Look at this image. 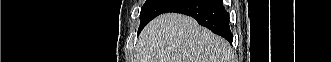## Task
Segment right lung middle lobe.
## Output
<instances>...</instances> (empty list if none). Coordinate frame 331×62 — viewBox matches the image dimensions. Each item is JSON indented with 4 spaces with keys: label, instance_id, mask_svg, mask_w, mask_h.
<instances>
[{
    "label": "right lung middle lobe",
    "instance_id": "dd1d6c3e",
    "mask_svg": "<svg viewBox=\"0 0 331 62\" xmlns=\"http://www.w3.org/2000/svg\"><path fill=\"white\" fill-rule=\"evenodd\" d=\"M173 1L174 0H146L140 13L141 22L139 32L149 21L158 16Z\"/></svg>",
    "mask_w": 331,
    "mask_h": 62
}]
</instances>
